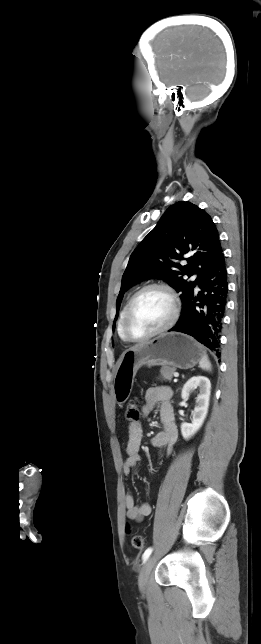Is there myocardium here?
Masks as SVG:
<instances>
[{"mask_svg": "<svg viewBox=\"0 0 261 644\" xmlns=\"http://www.w3.org/2000/svg\"><path fill=\"white\" fill-rule=\"evenodd\" d=\"M150 289L163 290L169 296V298L171 300V304H172V313H171V316H170L169 320L162 327H160L159 329H157V330H155V331H153V332H151V333H149V334H147L145 336L136 337L129 330L130 315H131L133 306H134L136 300L138 299V297L141 294H143L145 291L150 290ZM179 314H180V300H179L178 295L176 294V292L169 285H167L165 283H162V282H153V283L146 284V285L142 286L140 289H138L133 294V296L130 298L129 302L127 303V306H126V309H125V312H124V316H123V320H122L123 334H124L125 338L130 342L139 343V342L147 341V340H149L151 338H154V337H156L158 335H161V334L167 332L168 330H170L176 324V322H177V320L179 318Z\"/></svg>", "mask_w": 261, "mask_h": 644, "instance_id": "f54148a6", "label": "myocardium"}]
</instances>
